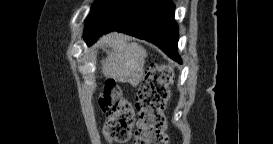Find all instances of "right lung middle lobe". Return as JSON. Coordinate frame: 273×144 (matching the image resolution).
I'll use <instances>...</instances> for the list:
<instances>
[{"instance_id": "1", "label": "right lung middle lobe", "mask_w": 273, "mask_h": 144, "mask_svg": "<svg viewBox=\"0 0 273 144\" xmlns=\"http://www.w3.org/2000/svg\"><path fill=\"white\" fill-rule=\"evenodd\" d=\"M116 1L117 0H95V3L91 7V12L87 17V21L85 22L84 36L91 33L104 12Z\"/></svg>"}]
</instances>
